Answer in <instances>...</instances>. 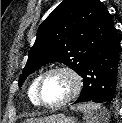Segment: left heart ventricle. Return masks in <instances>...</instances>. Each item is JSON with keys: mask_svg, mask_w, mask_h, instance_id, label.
I'll return each mask as SVG.
<instances>
[{"mask_svg": "<svg viewBox=\"0 0 122 123\" xmlns=\"http://www.w3.org/2000/svg\"><path fill=\"white\" fill-rule=\"evenodd\" d=\"M72 88V81L65 73L48 75L42 85V98L47 103H56L64 99Z\"/></svg>", "mask_w": 122, "mask_h": 123, "instance_id": "1", "label": "left heart ventricle"}]
</instances>
